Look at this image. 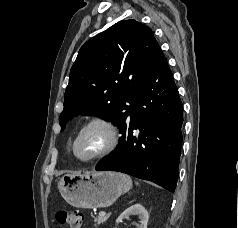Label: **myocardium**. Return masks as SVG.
Here are the masks:
<instances>
[{
	"label": "myocardium",
	"instance_id": "obj_1",
	"mask_svg": "<svg viewBox=\"0 0 238 228\" xmlns=\"http://www.w3.org/2000/svg\"><path fill=\"white\" fill-rule=\"evenodd\" d=\"M101 128L106 134V142L104 146L94 155L82 158L77 154L76 147L81 139V137L93 128ZM119 141V135L114 123L103 117H93L86 121L77 131L73 143H72V153L74 157L81 162H92L101 159L111 153L117 146Z\"/></svg>",
	"mask_w": 238,
	"mask_h": 228
}]
</instances>
